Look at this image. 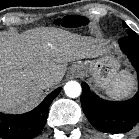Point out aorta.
Wrapping results in <instances>:
<instances>
[{
    "instance_id": "762f6f07",
    "label": "aorta",
    "mask_w": 139,
    "mask_h": 139,
    "mask_svg": "<svg viewBox=\"0 0 139 139\" xmlns=\"http://www.w3.org/2000/svg\"><path fill=\"white\" fill-rule=\"evenodd\" d=\"M65 94L70 98H76L81 95V85L76 81H69L64 86Z\"/></svg>"
}]
</instances>
